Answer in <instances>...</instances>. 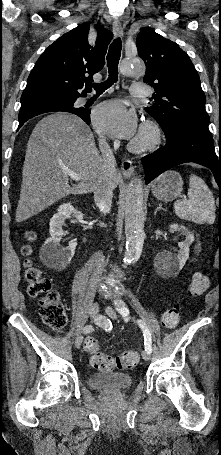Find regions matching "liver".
Returning a JSON list of instances; mask_svg holds the SVG:
<instances>
[{"label":"liver","instance_id":"1","mask_svg":"<svg viewBox=\"0 0 221 455\" xmlns=\"http://www.w3.org/2000/svg\"><path fill=\"white\" fill-rule=\"evenodd\" d=\"M104 161L94 136L76 115L57 112L41 119L34 127L25 155L16 221L23 222L69 194L94 191L100 179L116 189L119 175L103 176ZM66 170L81 177L70 186Z\"/></svg>","mask_w":221,"mask_h":455}]
</instances>
